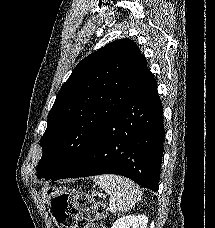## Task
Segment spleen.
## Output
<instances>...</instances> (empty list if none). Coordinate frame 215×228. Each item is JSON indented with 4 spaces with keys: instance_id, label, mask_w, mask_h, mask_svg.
Here are the masks:
<instances>
[{
    "instance_id": "1",
    "label": "spleen",
    "mask_w": 215,
    "mask_h": 228,
    "mask_svg": "<svg viewBox=\"0 0 215 228\" xmlns=\"http://www.w3.org/2000/svg\"><path fill=\"white\" fill-rule=\"evenodd\" d=\"M93 182L103 188L108 196H112L115 202V210L127 212L141 200V190L137 184L114 174L92 176Z\"/></svg>"
}]
</instances>
